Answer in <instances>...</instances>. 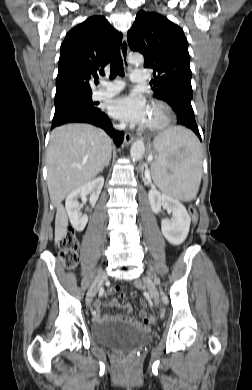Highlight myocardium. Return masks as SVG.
Segmentation results:
<instances>
[{"label":"myocardium","instance_id":"myocardium-1","mask_svg":"<svg viewBox=\"0 0 252 390\" xmlns=\"http://www.w3.org/2000/svg\"><path fill=\"white\" fill-rule=\"evenodd\" d=\"M150 107L160 110L162 113V118L157 123L146 125V130L156 132L165 129L173 118L172 108L163 101H153L150 104Z\"/></svg>","mask_w":252,"mask_h":390}]
</instances>
